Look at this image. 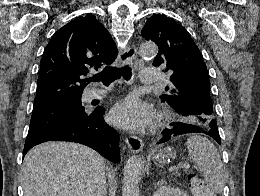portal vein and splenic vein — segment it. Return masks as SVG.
<instances>
[{"instance_id":"1","label":"portal vein and splenic vein","mask_w":260,"mask_h":196,"mask_svg":"<svg viewBox=\"0 0 260 196\" xmlns=\"http://www.w3.org/2000/svg\"><path fill=\"white\" fill-rule=\"evenodd\" d=\"M177 168H178V170H179V168H184V170H189L190 166H189V164H179V166H177ZM178 170H177V172H178ZM177 172H176V174H177ZM172 176H173V174H172Z\"/></svg>"}]
</instances>
